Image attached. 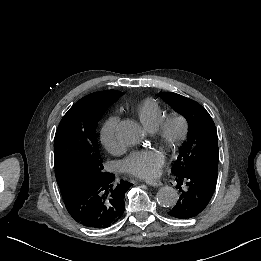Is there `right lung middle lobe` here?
I'll return each mask as SVG.
<instances>
[{"label": "right lung middle lobe", "mask_w": 261, "mask_h": 261, "mask_svg": "<svg viewBox=\"0 0 261 261\" xmlns=\"http://www.w3.org/2000/svg\"><path fill=\"white\" fill-rule=\"evenodd\" d=\"M114 103H91L79 100L64 115L54 139V166L61 193L77 178L94 180L103 173L98 142L97 123Z\"/></svg>", "instance_id": "right-lung-middle-lobe-1"}]
</instances>
